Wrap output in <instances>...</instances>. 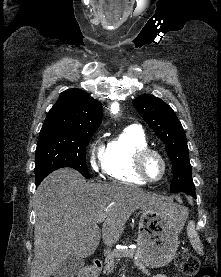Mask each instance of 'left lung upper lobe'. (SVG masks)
<instances>
[{
	"label": "left lung upper lobe",
	"instance_id": "left-lung-upper-lobe-1",
	"mask_svg": "<svg viewBox=\"0 0 221 277\" xmlns=\"http://www.w3.org/2000/svg\"><path fill=\"white\" fill-rule=\"evenodd\" d=\"M132 103L166 145L173 166L170 191L188 193L194 190L185 132L173 109L161 99L148 94L134 99Z\"/></svg>",
	"mask_w": 221,
	"mask_h": 277
}]
</instances>
